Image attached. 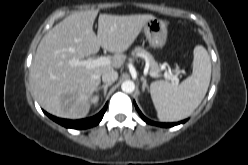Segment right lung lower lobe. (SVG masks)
I'll list each match as a JSON object with an SVG mask.
<instances>
[{
	"label": "right lung lower lobe",
	"instance_id": "1",
	"mask_svg": "<svg viewBox=\"0 0 248 165\" xmlns=\"http://www.w3.org/2000/svg\"><path fill=\"white\" fill-rule=\"evenodd\" d=\"M107 105L95 116L91 117V118H87V119H81V120H68V119H60L57 117H54L48 113H46V115L51 118L52 120H54L55 122L61 124L62 126L66 127V128H73V129H86V128H90L93 127L97 124H99V122L102 120L103 115L106 111Z\"/></svg>",
	"mask_w": 248,
	"mask_h": 165
}]
</instances>
